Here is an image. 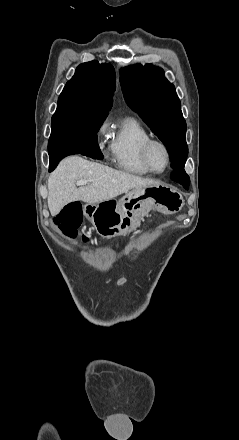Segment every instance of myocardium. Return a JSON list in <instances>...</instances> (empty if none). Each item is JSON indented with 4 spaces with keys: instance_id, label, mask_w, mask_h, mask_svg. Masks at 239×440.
Masks as SVG:
<instances>
[{
    "instance_id": "f54148a6",
    "label": "myocardium",
    "mask_w": 239,
    "mask_h": 440,
    "mask_svg": "<svg viewBox=\"0 0 239 440\" xmlns=\"http://www.w3.org/2000/svg\"><path fill=\"white\" fill-rule=\"evenodd\" d=\"M154 146H160L165 151L167 165L163 171H157L153 167L152 160H151V151ZM141 152H142L143 162H144L145 166L147 167V169L150 171V173L155 174V175H162L169 170V168L171 166L172 157H171L170 149L164 141H162L160 139L150 138L149 140H147L143 144Z\"/></svg>"
}]
</instances>
